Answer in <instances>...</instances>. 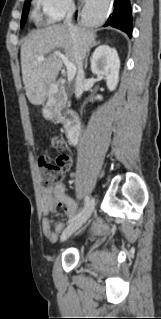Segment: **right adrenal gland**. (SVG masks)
Instances as JSON below:
<instances>
[{
  "label": "right adrenal gland",
  "instance_id": "1",
  "mask_svg": "<svg viewBox=\"0 0 161 319\" xmlns=\"http://www.w3.org/2000/svg\"><path fill=\"white\" fill-rule=\"evenodd\" d=\"M99 44H100V42H94V43L91 45L90 49L93 48V47H95V46H97V45H99ZM90 49H89L88 54H87V57H86V59H85V69L87 68V65H88V56H89Z\"/></svg>",
  "mask_w": 161,
  "mask_h": 319
}]
</instances>
